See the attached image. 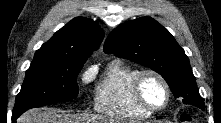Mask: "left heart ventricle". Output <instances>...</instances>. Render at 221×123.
<instances>
[{"label":"left heart ventricle","instance_id":"1","mask_svg":"<svg viewBox=\"0 0 221 123\" xmlns=\"http://www.w3.org/2000/svg\"><path fill=\"white\" fill-rule=\"evenodd\" d=\"M142 95L146 102L153 107L164 104L166 94L162 84L154 77L147 76L142 82Z\"/></svg>","mask_w":221,"mask_h":123}]
</instances>
